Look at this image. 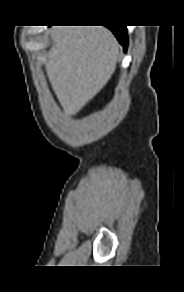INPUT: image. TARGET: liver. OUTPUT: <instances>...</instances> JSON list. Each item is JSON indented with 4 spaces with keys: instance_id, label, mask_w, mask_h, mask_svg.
<instances>
[{
    "instance_id": "1",
    "label": "liver",
    "mask_w": 184,
    "mask_h": 292,
    "mask_svg": "<svg viewBox=\"0 0 184 292\" xmlns=\"http://www.w3.org/2000/svg\"><path fill=\"white\" fill-rule=\"evenodd\" d=\"M46 72L66 114L76 115L107 84L119 44L102 26H57Z\"/></svg>"
}]
</instances>
